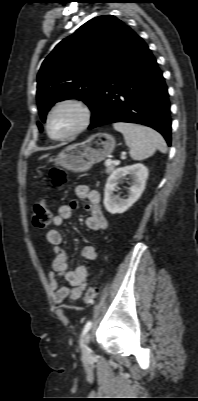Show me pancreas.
Returning a JSON list of instances; mask_svg holds the SVG:
<instances>
[{"mask_svg": "<svg viewBox=\"0 0 198 401\" xmlns=\"http://www.w3.org/2000/svg\"><path fill=\"white\" fill-rule=\"evenodd\" d=\"M114 168H115L114 163H111V164H107V163H106V170H105V173H107V174L112 173L113 170H114Z\"/></svg>", "mask_w": 198, "mask_h": 401, "instance_id": "1", "label": "pancreas"}]
</instances>
